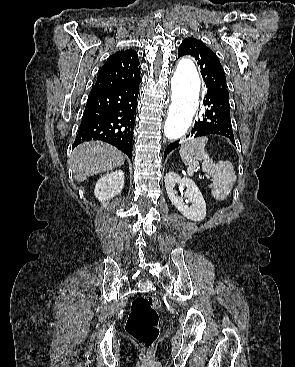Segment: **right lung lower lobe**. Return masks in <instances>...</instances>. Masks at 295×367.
<instances>
[{"label":"right lung lower lobe","mask_w":295,"mask_h":367,"mask_svg":"<svg viewBox=\"0 0 295 367\" xmlns=\"http://www.w3.org/2000/svg\"><path fill=\"white\" fill-rule=\"evenodd\" d=\"M139 83L123 87L93 86L73 148L102 140L132 159V140Z\"/></svg>","instance_id":"right-lung-lower-lobe-1"}]
</instances>
